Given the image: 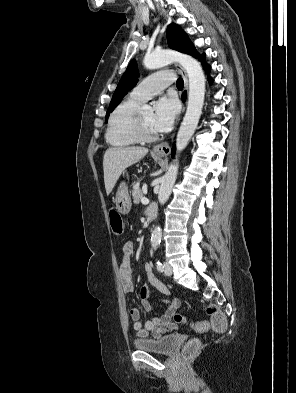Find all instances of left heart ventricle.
Segmentation results:
<instances>
[{
    "label": "left heart ventricle",
    "mask_w": 296,
    "mask_h": 393,
    "mask_svg": "<svg viewBox=\"0 0 296 393\" xmlns=\"http://www.w3.org/2000/svg\"><path fill=\"white\" fill-rule=\"evenodd\" d=\"M142 121L144 122L145 126L152 132H155L152 128V112H145L140 114Z\"/></svg>",
    "instance_id": "left-heart-ventricle-1"
}]
</instances>
